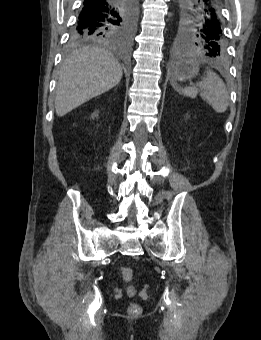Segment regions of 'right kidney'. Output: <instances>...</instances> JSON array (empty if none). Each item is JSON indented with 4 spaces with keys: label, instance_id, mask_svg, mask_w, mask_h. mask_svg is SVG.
Here are the masks:
<instances>
[{
    "label": "right kidney",
    "instance_id": "obj_1",
    "mask_svg": "<svg viewBox=\"0 0 261 340\" xmlns=\"http://www.w3.org/2000/svg\"><path fill=\"white\" fill-rule=\"evenodd\" d=\"M97 116L98 114L96 112L92 114V118L97 117Z\"/></svg>",
    "mask_w": 261,
    "mask_h": 340
}]
</instances>
